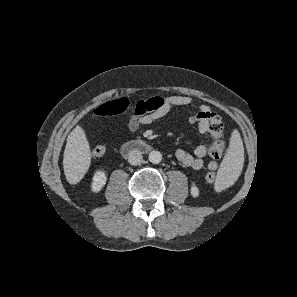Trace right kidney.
I'll return each instance as SVG.
<instances>
[{"instance_id": "obj_1", "label": "right kidney", "mask_w": 297, "mask_h": 297, "mask_svg": "<svg viewBox=\"0 0 297 297\" xmlns=\"http://www.w3.org/2000/svg\"><path fill=\"white\" fill-rule=\"evenodd\" d=\"M107 177L104 171H97L92 180V191L99 192L106 184Z\"/></svg>"}]
</instances>
